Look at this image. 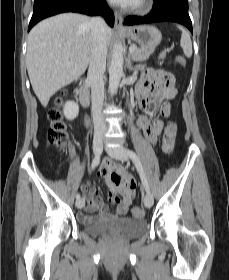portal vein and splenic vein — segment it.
<instances>
[{
    "mask_svg": "<svg viewBox=\"0 0 229 280\" xmlns=\"http://www.w3.org/2000/svg\"><path fill=\"white\" fill-rule=\"evenodd\" d=\"M129 51L130 53H133L136 51V48L134 46L129 47Z\"/></svg>",
    "mask_w": 229,
    "mask_h": 280,
    "instance_id": "1",
    "label": "portal vein and splenic vein"
}]
</instances>
